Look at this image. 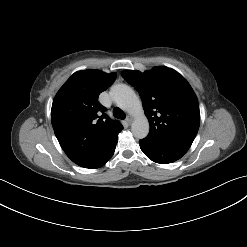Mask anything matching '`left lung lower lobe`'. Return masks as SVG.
I'll use <instances>...</instances> for the list:
<instances>
[{
	"mask_svg": "<svg viewBox=\"0 0 247 247\" xmlns=\"http://www.w3.org/2000/svg\"><path fill=\"white\" fill-rule=\"evenodd\" d=\"M142 152L152 161L160 164H168L180 159L189 148L162 144L144 138L139 141Z\"/></svg>",
	"mask_w": 247,
	"mask_h": 247,
	"instance_id": "left-lung-lower-lobe-1",
	"label": "left lung lower lobe"
}]
</instances>
